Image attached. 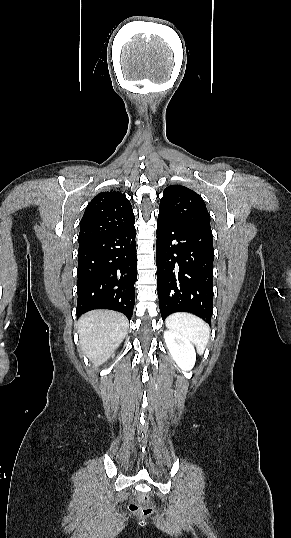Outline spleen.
<instances>
[{"instance_id": "1", "label": "spleen", "mask_w": 291, "mask_h": 538, "mask_svg": "<svg viewBox=\"0 0 291 538\" xmlns=\"http://www.w3.org/2000/svg\"><path fill=\"white\" fill-rule=\"evenodd\" d=\"M166 326L171 331L180 333L196 345L199 354H203L210 337V327L193 314L175 312L166 318Z\"/></svg>"}]
</instances>
